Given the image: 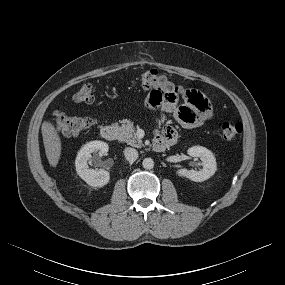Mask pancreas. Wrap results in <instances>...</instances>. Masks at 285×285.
<instances>
[{"mask_svg": "<svg viewBox=\"0 0 285 285\" xmlns=\"http://www.w3.org/2000/svg\"><path fill=\"white\" fill-rule=\"evenodd\" d=\"M121 126H118L117 123H115V126L118 127L119 130V140L126 142L128 145L134 146V147H142V141L137 139L135 135V128L133 126V123L130 120H122L120 121Z\"/></svg>", "mask_w": 285, "mask_h": 285, "instance_id": "cf45deb5", "label": "pancreas"}]
</instances>
